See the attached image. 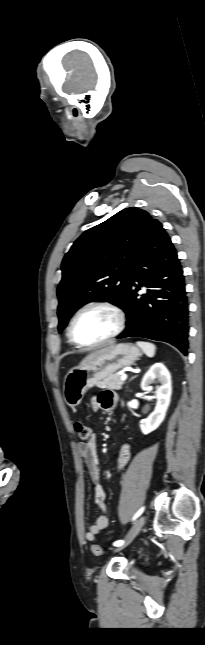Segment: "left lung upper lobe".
Here are the masks:
<instances>
[{
  "label": "left lung upper lobe",
  "mask_w": 205,
  "mask_h": 645,
  "mask_svg": "<svg viewBox=\"0 0 205 645\" xmlns=\"http://www.w3.org/2000/svg\"><path fill=\"white\" fill-rule=\"evenodd\" d=\"M151 215L130 207L85 231L62 261L58 286V330L90 301H107L121 308L130 282V269Z\"/></svg>",
  "instance_id": "1"
}]
</instances>
